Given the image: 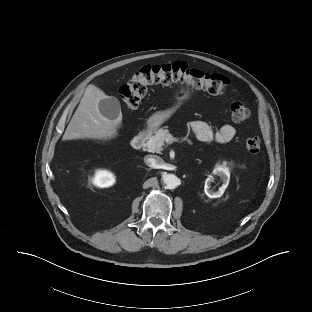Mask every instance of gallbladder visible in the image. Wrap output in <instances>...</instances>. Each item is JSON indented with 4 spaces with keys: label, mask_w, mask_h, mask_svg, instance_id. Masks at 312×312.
<instances>
[{
    "label": "gallbladder",
    "mask_w": 312,
    "mask_h": 312,
    "mask_svg": "<svg viewBox=\"0 0 312 312\" xmlns=\"http://www.w3.org/2000/svg\"><path fill=\"white\" fill-rule=\"evenodd\" d=\"M100 113L110 120L117 122V126H121V107L120 102L115 97H108L99 102Z\"/></svg>",
    "instance_id": "gallbladder-1"
}]
</instances>
